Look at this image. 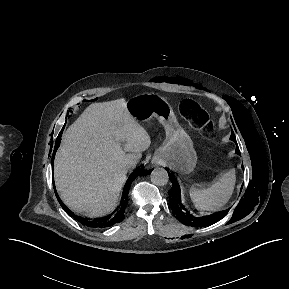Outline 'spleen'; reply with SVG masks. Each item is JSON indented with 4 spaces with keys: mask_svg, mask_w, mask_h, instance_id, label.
Returning <instances> with one entry per match:
<instances>
[{
    "mask_svg": "<svg viewBox=\"0 0 289 289\" xmlns=\"http://www.w3.org/2000/svg\"><path fill=\"white\" fill-rule=\"evenodd\" d=\"M236 183L235 169L221 173L213 184L200 189L195 186L190 189V197L197 210L217 212L223 210L230 200Z\"/></svg>",
    "mask_w": 289,
    "mask_h": 289,
    "instance_id": "3e777b00",
    "label": "spleen"
}]
</instances>
